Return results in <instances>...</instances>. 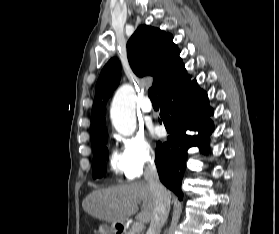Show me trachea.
<instances>
[{
    "instance_id": "trachea-1",
    "label": "trachea",
    "mask_w": 279,
    "mask_h": 234,
    "mask_svg": "<svg viewBox=\"0 0 279 234\" xmlns=\"http://www.w3.org/2000/svg\"><path fill=\"white\" fill-rule=\"evenodd\" d=\"M149 98L152 102H158L157 91L156 88L152 87L148 90Z\"/></svg>"
}]
</instances>
